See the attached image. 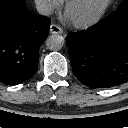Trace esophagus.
<instances>
[{"label": "esophagus", "mask_w": 128, "mask_h": 128, "mask_svg": "<svg viewBox=\"0 0 128 128\" xmlns=\"http://www.w3.org/2000/svg\"><path fill=\"white\" fill-rule=\"evenodd\" d=\"M50 33L51 34H61V33H63V30L60 26H58L56 24H51L50 25Z\"/></svg>", "instance_id": "esophagus-1"}]
</instances>
